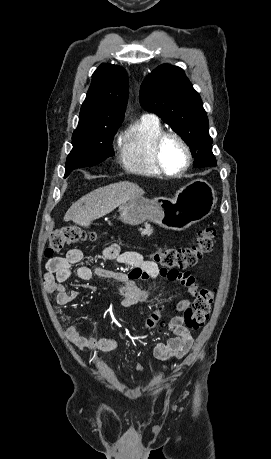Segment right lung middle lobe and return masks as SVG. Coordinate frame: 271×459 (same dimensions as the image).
<instances>
[{
  "instance_id": "1",
  "label": "right lung middle lobe",
  "mask_w": 271,
  "mask_h": 459,
  "mask_svg": "<svg viewBox=\"0 0 271 459\" xmlns=\"http://www.w3.org/2000/svg\"><path fill=\"white\" fill-rule=\"evenodd\" d=\"M123 119H79L72 135L73 149L67 157L65 177L74 169L94 166L114 155L113 137Z\"/></svg>"
}]
</instances>
